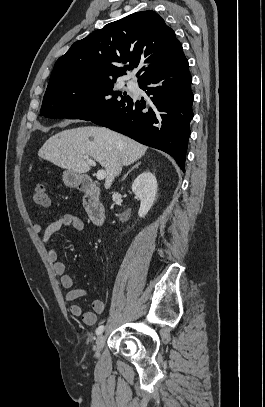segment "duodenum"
Wrapping results in <instances>:
<instances>
[{"instance_id": "410a0bca", "label": "duodenum", "mask_w": 265, "mask_h": 407, "mask_svg": "<svg viewBox=\"0 0 265 407\" xmlns=\"http://www.w3.org/2000/svg\"><path fill=\"white\" fill-rule=\"evenodd\" d=\"M79 189L84 192V206L93 224L100 226L104 223L106 212L100 201V191L97 184L91 178H83L79 181Z\"/></svg>"}]
</instances>
